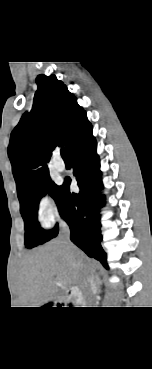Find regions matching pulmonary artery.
Listing matches in <instances>:
<instances>
[{"instance_id":"e3ab8cb5","label":"pulmonary artery","mask_w":152,"mask_h":369,"mask_svg":"<svg viewBox=\"0 0 152 369\" xmlns=\"http://www.w3.org/2000/svg\"><path fill=\"white\" fill-rule=\"evenodd\" d=\"M53 165H54V168L57 171H60L61 172V171H63L65 169L64 162L60 158H58V157L55 158Z\"/></svg>"}]
</instances>
